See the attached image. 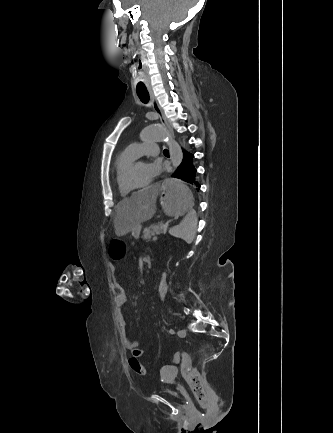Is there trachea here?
<instances>
[{"instance_id":"1","label":"trachea","mask_w":333,"mask_h":433,"mask_svg":"<svg viewBox=\"0 0 333 433\" xmlns=\"http://www.w3.org/2000/svg\"><path fill=\"white\" fill-rule=\"evenodd\" d=\"M136 91H137V94H138L140 100L143 103L147 104L149 102V99H150L149 98V93L147 91V88L146 87H142V86H137ZM164 153L168 154L169 152H168L167 149H165Z\"/></svg>"}]
</instances>
